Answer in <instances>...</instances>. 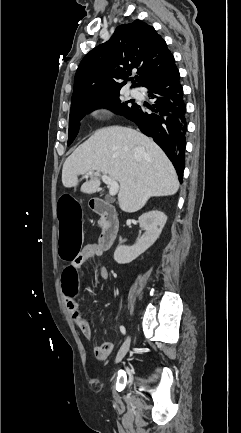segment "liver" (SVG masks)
I'll list each match as a JSON object with an SVG mask.
<instances>
[{
	"label": "liver",
	"mask_w": 241,
	"mask_h": 433,
	"mask_svg": "<svg viewBox=\"0 0 241 433\" xmlns=\"http://www.w3.org/2000/svg\"><path fill=\"white\" fill-rule=\"evenodd\" d=\"M94 171L81 192L93 194L102 173L120 183L118 203L122 211L140 210L150 197L174 195L179 189L176 171L162 149L144 134L121 126L97 130L65 161L62 183L78 185V176Z\"/></svg>",
	"instance_id": "1"
}]
</instances>
